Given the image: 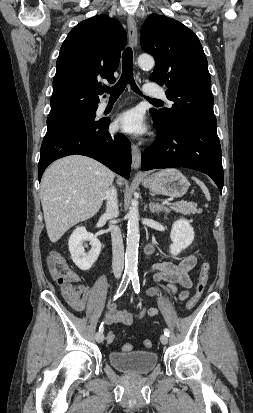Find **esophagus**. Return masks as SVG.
<instances>
[{"instance_id":"esophagus-1","label":"esophagus","mask_w":253,"mask_h":413,"mask_svg":"<svg viewBox=\"0 0 253 413\" xmlns=\"http://www.w3.org/2000/svg\"><path fill=\"white\" fill-rule=\"evenodd\" d=\"M128 35L132 47H136L138 43L137 25L133 17L129 16L127 19ZM141 164V150L132 144V168L138 170Z\"/></svg>"}]
</instances>
